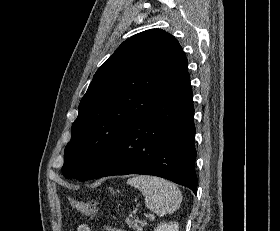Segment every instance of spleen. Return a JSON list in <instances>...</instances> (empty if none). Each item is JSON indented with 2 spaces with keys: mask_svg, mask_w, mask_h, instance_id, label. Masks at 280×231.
<instances>
[{
  "mask_svg": "<svg viewBox=\"0 0 280 231\" xmlns=\"http://www.w3.org/2000/svg\"><path fill=\"white\" fill-rule=\"evenodd\" d=\"M129 185H134L142 191L147 207L153 209L157 215L174 213L181 205L182 193L175 183L154 177V175H136L127 179Z\"/></svg>",
  "mask_w": 280,
  "mask_h": 231,
  "instance_id": "obj_1",
  "label": "spleen"
}]
</instances>
